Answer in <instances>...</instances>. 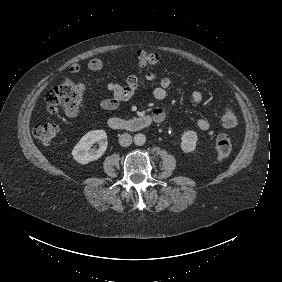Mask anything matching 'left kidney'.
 Masks as SVG:
<instances>
[{
    "label": "left kidney",
    "mask_w": 282,
    "mask_h": 282,
    "mask_svg": "<svg viewBox=\"0 0 282 282\" xmlns=\"http://www.w3.org/2000/svg\"><path fill=\"white\" fill-rule=\"evenodd\" d=\"M181 149L184 153H193L196 151L197 134L194 131H184L180 136Z\"/></svg>",
    "instance_id": "5707ae66"
}]
</instances>
